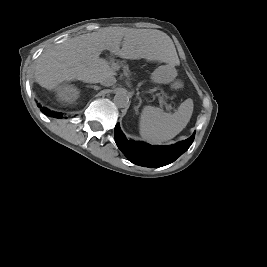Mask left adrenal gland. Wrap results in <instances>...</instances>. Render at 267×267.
Listing matches in <instances>:
<instances>
[{
	"label": "left adrenal gland",
	"mask_w": 267,
	"mask_h": 267,
	"mask_svg": "<svg viewBox=\"0 0 267 267\" xmlns=\"http://www.w3.org/2000/svg\"><path fill=\"white\" fill-rule=\"evenodd\" d=\"M138 96H139V94L137 93V98L139 99V104L134 107V109H135L136 112L138 111V108L141 106V103H142L141 98H139Z\"/></svg>",
	"instance_id": "a2214340"
}]
</instances>
